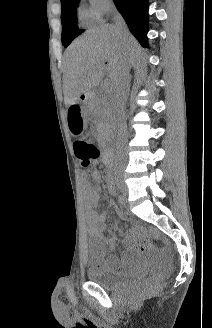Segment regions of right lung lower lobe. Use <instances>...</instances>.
Instances as JSON below:
<instances>
[{
	"mask_svg": "<svg viewBox=\"0 0 212 328\" xmlns=\"http://www.w3.org/2000/svg\"><path fill=\"white\" fill-rule=\"evenodd\" d=\"M148 0H114L129 30L143 47L148 46Z\"/></svg>",
	"mask_w": 212,
	"mask_h": 328,
	"instance_id": "right-lung-lower-lobe-1",
	"label": "right lung lower lobe"
}]
</instances>
